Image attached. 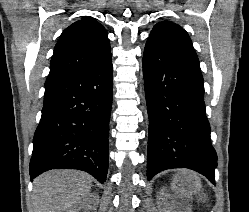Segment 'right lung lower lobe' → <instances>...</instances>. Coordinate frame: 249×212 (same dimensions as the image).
Instances as JSON below:
<instances>
[{
  "instance_id": "98d812e1",
  "label": "right lung lower lobe",
  "mask_w": 249,
  "mask_h": 212,
  "mask_svg": "<svg viewBox=\"0 0 249 212\" xmlns=\"http://www.w3.org/2000/svg\"><path fill=\"white\" fill-rule=\"evenodd\" d=\"M111 57L88 71L45 84L33 139L31 179L51 169H78L100 183L108 171Z\"/></svg>"
}]
</instances>
